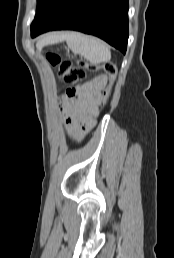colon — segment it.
<instances>
[{"instance_id":"obj_1","label":"colon","mask_w":174,"mask_h":258,"mask_svg":"<svg viewBox=\"0 0 174 258\" xmlns=\"http://www.w3.org/2000/svg\"><path fill=\"white\" fill-rule=\"evenodd\" d=\"M46 58L57 69L58 76L62 82L69 86L67 93L72 97L78 95L79 83L85 79L87 71L102 69L109 77L108 86L103 94V101L106 102L109 99L117 79L118 68L116 63L107 61L102 65H94L83 60L73 62L71 59L62 58L57 53H48Z\"/></svg>"}]
</instances>
